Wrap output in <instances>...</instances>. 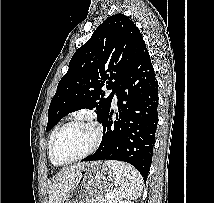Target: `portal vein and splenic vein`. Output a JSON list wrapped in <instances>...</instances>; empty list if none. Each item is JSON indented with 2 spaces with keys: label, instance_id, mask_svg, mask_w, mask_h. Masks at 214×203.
Segmentation results:
<instances>
[{
  "label": "portal vein and splenic vein",
  "instance_id": "1",
  "mask_svg": "<svg viewBox=\"0 0 214 203\" xmlns=\"http://www.w3.org/2000/svg\"><path fill=\"white\" fill-rule=\"evenodd\" d=\"M108 199H114L115 198V194L114 193H110L107 196Z\"/></svg>",
  "mask_w": 214,
  "mask_h": 203
}]
</instances>
